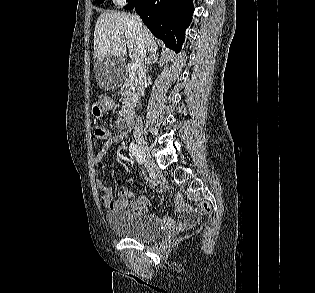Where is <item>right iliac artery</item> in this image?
I'll return each mask as SVG.
<instances>
[{
	"label": "right iliac artery",
	"mask_w": 315,
	"mask_h": 293,
	"mask_svg": "<svg viewBox=\"0 0 315 293\" xmlns=\"http://www.w3.org/2000/svg\"><path fill=\"white\" fill-rule=\"evenodd\" d=\"M129 151L132 153V155L135 157L136 161L141 165L143 164V154L140 150V148L138 147L137 144H135L134 142H132L129 145Z\"/></svg>",
	"instance_id": "obj_1"
}]
</instances>
